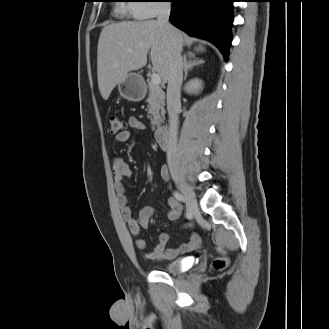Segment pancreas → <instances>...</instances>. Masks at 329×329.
<instances>
[{"label": "pancreas", "mask_w": 329, "mask_h": 329, "mask_svg": "<svg viewBox=\"0 0 329 329\" xmlns=\"http://www.w3.org/2000/svg\"><path fill=\"white\" fill-rule=\"evenodd\" d=\"M149 94L146 99L148 103V114L153 127H160V123L165 114V94L159 86L153 85L148 82Z\"/></svg>", "instance_id": "pancreas-1"}]
</instances>
